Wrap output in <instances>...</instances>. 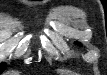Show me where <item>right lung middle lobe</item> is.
Here are the masks:
<instances>
[{
  "label": "right lung middle lobe",
  "mask_w": 107,
  "mask_h": 75,
  "mask_svg": "<svg viewBox=\"0 0 107 75\" xmlns=\"http://www.w3.org/2000/svg\"><path fill=\"white\" fill-rule=\"evenodd\" d=\"M5 68V64H1L0 65V70H1V72H2V70Z\"/></svg>",
  "instance_id": "dd1d6c3e"
}]
</instances>
